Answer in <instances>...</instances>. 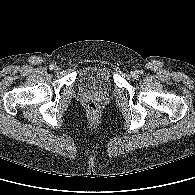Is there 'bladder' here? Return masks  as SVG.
Segmentation results:
<instances>
[{"label":"bladder","instance_id":"31cf9c89","mask_svg":"<svg viewBox=\"0 0 195 195\" xmlns=\"http://www.w3.org/2000/svg\"><path fill=\"white\" fill-rule=\"evenodd\" d=\"M78 88L87 93H107L113 87L112 74L105 65L92 64L85 66L77 79Z\"/></svg>","mask_w":195,"mask_h":195}]
</instances>
